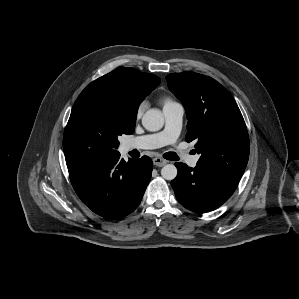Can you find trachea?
<instances>
[{"label":"trachea","instance_id":"obj_1","mask_svg":"<svg viewBox=\"0 0 299 299\" xmlns=\"http://www.w3.org/2000/svg\"><path fill=\"white\" fill-rule=\"evenodd\" d=\"M163 157L167 160H171V161H177L179 160V157L176 155V153L174 152H167L163 155Z\"/></svg>","mask_w":299,"mask_h":299}]
</instances>
